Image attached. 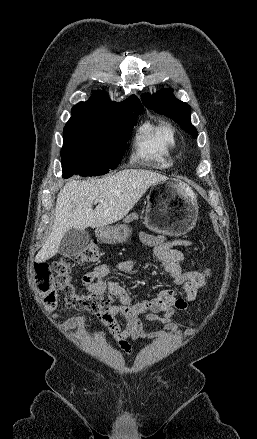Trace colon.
Instances as JSON below:
<instances>
[{"label": "colon", "instance_id": "colon-1", "mask_svg": "<svg viewBox=\"0 0 257 439\" xmlns=\"http://www.w3.org/2000/svg\"><path fill=\"white\" fill-rule=\"evenodd\" d=\"M98 256L97 244L91 243L77 256H62L53 262L35 266V284L48 311H53L58 303H64L70 308L99 315L107 312L113 303L121 302V297L124 295L122 289L116 293L78 290L72 276L73 268L77 263L94 262ZM210 273L209 269L183 271L173 281L176 285L190 284L201 288L207 284Z\"/></svg>", "mask_w": 257, "mask_h": 439}]
</instances>
